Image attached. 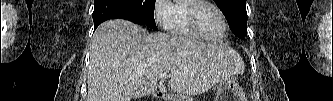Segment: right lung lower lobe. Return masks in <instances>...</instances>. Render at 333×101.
Segmentation results:
<instances>
[{
	"instance_id": "98d812e1",
	"label": "right lung lower lobe",
	"mask_w": 333,
	"mask_h": 101,
	"mask_svg": "<svg viewBox=\"0 0 333 101\" xmlns=\"http://www.w3.org/2000/svg\"><path fill=\"white\" fill-rule=\"evenodd\" d=\"M115 18L140 24L136 12L125 0H97L93 12L94 30L102 22Z\"/></svg>"
}]
</instances>
